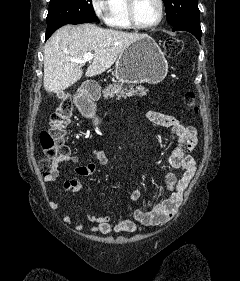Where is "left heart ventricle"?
I'll list each match as a JSON object with an SVG mask.
<instances>
[{"mask_svg": "<svg viewBox=\"0 0 240 281\" xmlns=\"http://www.w3.org/2000/svg\"><path fill=\"white\" fill-rule=\"evenodd\" d=\"M136 16L141 24L154 23L159 16V4L157 0H137Z\"/></svg>", "mask_w": 240, "mask_h": 281, "instance_id": "1", "label": "left heart ventricle"}]
</instances>
